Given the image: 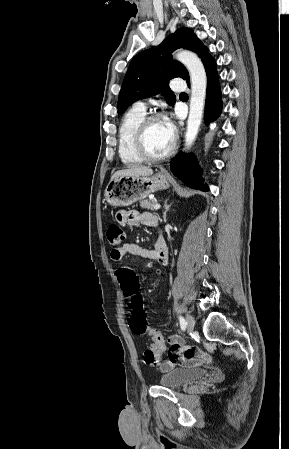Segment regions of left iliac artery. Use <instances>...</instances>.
I'll return each instance as SVG.
<instances>
[{
    "mask_svg": "<svg viewBox=\"0 0 289 449\" xmlns=\"http://www.w3.org/2000/svg\"><path fill=\"white\" fill-rule=\"evenodd\" d=\"M179 321H180L181 329L185 330L187 322L185 321V319L182 316L179 317Z\"/></svg>",
    "mask_w": 289,
    "mask_h": 449,
    "instance_id": "44dca946",
    "label": "left iliac artery"
}]
</instances>
